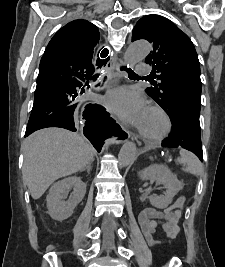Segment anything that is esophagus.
<instances>
[{
	"label": "esophagus",
	"mask_w": 225,
	"mask_h": 267,
	"mask_svg": "<svg viewBox=\"0 0 225 267\" xmlns=\"http://www.w3.org/2000/svg\"><path fill=\"white\" fill-rule=\"evenodd\" d=\"M121 65H122V63L118 59H114L111 61L110 67L108 69H110L111 71H116L117 73H119ZM119 135L120 136L118 139V143H123L130 138L129 132L127 130H125L123 127H121V129H120Z\"/></svg>",
	"instance_id": "obj_1"
}]
</instances>
